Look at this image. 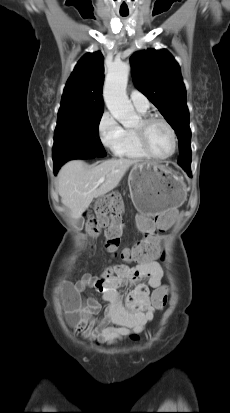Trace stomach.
I'll return each instance as SVG.
<instances>
[{
    "mask_svg": "<svg viewBox=\"0 0 230 413\" xmlns=\"http://www.w3.org/2000/svg\"><path fill=\"white\" fill-rule=\"evenodd\" d=\"M128 184L135 208L146 216H162L186 200V185L171 169L155 162L137 163Z\"/></svg>",
    "mask_w": 230,
    "mask_h": 413,
    "instance_id": "obj_1",
    "label": "stomach"
}]
</instances>
